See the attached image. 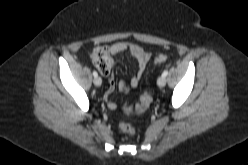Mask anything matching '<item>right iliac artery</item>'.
<instances>
[{"instance_id": "right-iliac-artery-1", "label": "right iliac artery", "mask_w": 248, "mask_h": 165, "mask_svg": "<svg viewBox=\"0 0 248 165\" xmlns=\"http://www.w3.org/2000/svg\"><path fill=\"white\" fill-rule=\"evenodd\" d=\"M93 76L94 77H97L98 76V73L96 71H93Z\"/></svg>"}]
</instances>
